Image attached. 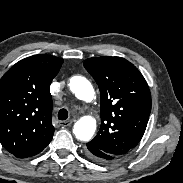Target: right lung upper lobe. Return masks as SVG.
I'll return each instance as SVG.
<instances>
[{
    "label": "right lung upper lobe",
    "mask_w": 183,
    "mask_h": 183,
    "mask_svg": "<svg viewBox=\"0 0 183 183\" xmlns=\"http://www.w3.org/2000/svg\"><path fill=\"white\" fill-rule=\"evenodd\" d=\"M62 63L55 56L34 55L0 79V143L18 158L40 153L52 140L50 84Z\"/></svg>",
    "instance_id": "obj_1"
}]
</instances>
